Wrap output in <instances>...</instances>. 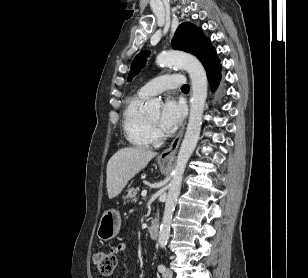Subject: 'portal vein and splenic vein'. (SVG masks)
I'll use <instances>...</instances> for the list:
<instances>
[{
  "label": "portal vein and splenic vein",
  "instance_id": "18ae733b",
  "mask_svg": "<svg viewBox=\"0 0 308 278\" xmlns=\"http://www.w3.org/2000/svg\"><path fill=\"white\" fill-rule=\"evenodd\" d=\"M142 197H146L147 195V190H143L142 193H141Z\"/></svg>",
  "mask_w": 308,
  "mask_h": 278
}]
</instances>
